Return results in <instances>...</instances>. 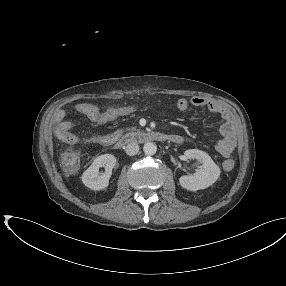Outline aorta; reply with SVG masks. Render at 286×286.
<instances>
[{
	"mask_svg": "<svg viewBox=\"0 0 286 286\" xmlns=\"http://www.w3.org/2000/svg\"><path fill=\"white\" fill-rule=\"evenodd\" d=\"M143 151L146 155H154L157 152V146L153 142H146L143 146Z\"/></svg>",
	"mask_w": 286,
	"mask_h": 286,
	"instance_id": "aorta-1",
	"label": "aorta"
}]
</instances>
